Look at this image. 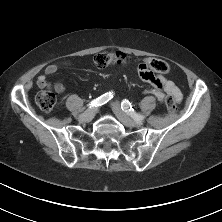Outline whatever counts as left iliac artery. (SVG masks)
<instances>
[{"mask_svg": "<svg viewBox=\"0 0 222 222\" xmlns=\"http://www.w3.org/2000/svg\"><path fill=\"white\" fill-rule=\"evenodd\" d=\"M121 108L124 112L130 115L135 121H142L145 118L143 115L136 113L131 103L126 99L121 102Z\"/></svg>", "mask_w": 222, "mask_h": 222, "instance_id": "obj_1", "label": "left iliac artery"}]
</instances>
